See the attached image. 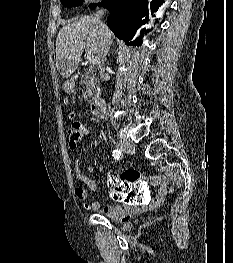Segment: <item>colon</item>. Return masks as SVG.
<instances>
[{"instance_id":"colon-1","label":"colon","mask_w":233,"mask_h":263,"mask_svg":"<svg viewBox=\"0 0 233 263\" xmlns=\"http://www.w3.org/2000/svg\"><path fill=\"white\" fill-rule=\"evenodd\" d=\"M69 146L75 149L86 134L85 127L79 121H73L68 129ZM117 174L109 175V186L114 202L124 200L130 205H141L143 202H150L151 188L144 178V171L137 169H117ZM118 174L120 176H118ZM149 189V190H148Z\"/></svg>"}]
</instances>
